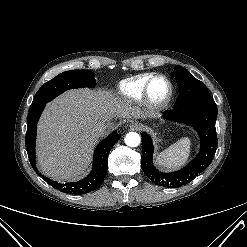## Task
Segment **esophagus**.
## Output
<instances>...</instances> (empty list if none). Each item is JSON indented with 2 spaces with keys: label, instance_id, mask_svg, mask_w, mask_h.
<instances>
[{
  "label": "esophagus",
  "instance_id": "esophagus-1",
  "mask_svg": "<svg viewBox=\"0 0 247 247\" xmlns=\"http://www.w3.org/2000/svg\"><path fill=\"white\" fill-rule=\"evenodd\" d=\"M129 128L133 131H141L143 129V126L138 122H132L130 123Z\"/></svg>",
  "mask_w": 247,
  "mask_h": 247
}]
</instances>
